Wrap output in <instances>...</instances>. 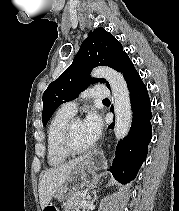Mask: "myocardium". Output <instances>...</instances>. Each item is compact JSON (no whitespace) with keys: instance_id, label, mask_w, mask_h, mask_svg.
Masks as SVG:
<instances>
[{"instance_id":"myocardium-1","label":"myocardium","mask_w":179,"mask_h":211,"mask_svg":"<svg viewBox=\"0 0 179 211\" xmlns=\"http://www.w3.org/2000/svg\"><path fill=\"white\" fill-rule=\"evenodd\" d=\"M79 119H70L64 127L62 137H61V147L63 151L69 156L86 154L94 149V144H91L85 148H78L73 141V127L76 121Z\"/></svg>"}]
</instances>
